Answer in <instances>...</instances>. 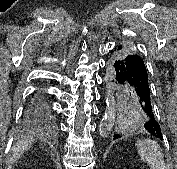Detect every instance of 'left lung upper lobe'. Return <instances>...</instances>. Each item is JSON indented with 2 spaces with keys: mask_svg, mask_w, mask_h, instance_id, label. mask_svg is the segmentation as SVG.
<instances>
[{
  "mask_svg": "<svg viewBox=\"0 0 177 169\" xmlns=\"http://www.w3.org/2000/svg\"><path fill=\"white\" fill-rule=\"evenodd\" d=\"M134 53H137V51H135L134 48H132L130 45H126L125 47L121 46V49L118 51L116 55V59L123 58L128 54H134Z\"/></svg>",
  "mask_w": 177,
  "mask_h": 169,
  "instance_id": "obj_1",
  "label": "left lung upper lobe"
}]
</instances>
